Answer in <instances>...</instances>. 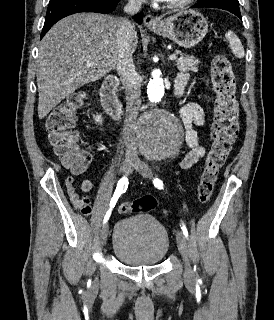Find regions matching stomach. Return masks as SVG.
Instances as JSON below:
<instances>
[{"mask_svg": "<svg viewBox=\"0 0 274 320\" xmlns=\"http://www.w3.org/2000/svg\"><path fill=\"white\" fill-rule=\"evenodd\" d=\"M163 26H151L148 30L173 40L182 48H194L208 32V22L202 14L194 10L178 12L169 18H160Z\"/></svg>", "mask_w": 274, "mask_h": 320, "instance_id": "0dacf381", "label": "stomach"}]
</instances>
